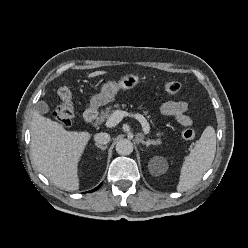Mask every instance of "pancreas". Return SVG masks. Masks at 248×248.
I'll list each match as a JSON object with an SVG mask.
<instances>
[{
  "label": "pancreas",
  "mask_w": 248,
  "mask_h": 248,
  "mask_svg": "<svg viewBox=\"0 0 248 248\" xmlns=\"http://www.w3.org/2000/svg\"><path fill=\"white\" fill-rule=\"evenodd\" d=\"M118 107H119L118 104L114 105V108H118ZM114 111H115V110L113 109L112 106L107 107L104 111H101V114H100V116L97 118L96 123H97V124L103 123L106 119H108V118L111 116V114L114 113ZM144 114L147 115L148 112H147V111H144ZM149 117H150V116H148V118H149Z\"/></svg>",
  "instance_id": "obj_1"
}]
</instances>
